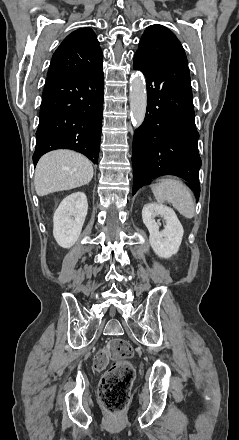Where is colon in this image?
<instances>
[{
  "mask_svg": "<svg viewBox=\"0 0 239 440\" xmlns=\"http://www.w3.org/2000/svg\"><path fill=\"white\" fill-rule=\"evenodd\" d=\"M131 356L130 344L123 339H114L95 358V368L104 370L99 399L109 413H120L128 404L135 379V369L129 361Z\"/></svg>",
  "mask_w": 239,
  "mask_h": 440,
  "instance_id": "colon-1",
  "label": "colon"
}]
</instances>
